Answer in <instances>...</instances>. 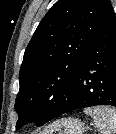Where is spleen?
Segmentation results:
<instances>
[{
	"label": "spleen",
	"instance_id": "1",
	"mask_svg": "<svg viewBox=\"0 0 116 134\" xmlns=\"http://www.w3.org/2000/svg\"><path fill=\"white\" fill-rule=\"evenodd\" d=\"M86 114L94 120L95 126L101 134H116V109L107 106L86 108Z\"/></svg>",
	"mask_w": 116,
	"mask_h": 134
}]
</instances>
